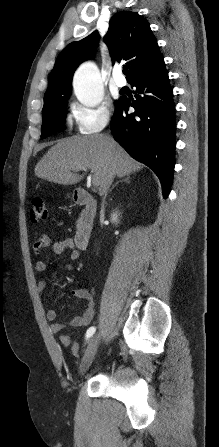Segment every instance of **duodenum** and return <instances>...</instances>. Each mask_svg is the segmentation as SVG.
<instances>
[{"label": "duodenum", "instance_id": "obj_1", "mask_svg": "<svg viewBox=\"0 0 219 447\" xmlns=\"http://www.w3.org/2000/svg\"><path fill=\"white\" fill-rule=\"evenodd\" d=\"M75 202L83 207L79 223L75 232L74 241L78 248L85 249L89 245L93 221L96 216L97 203L85 190H78L75 194Z\"/></svg>", "mask_w": 219, "mask_h": 447}]
</instances>
